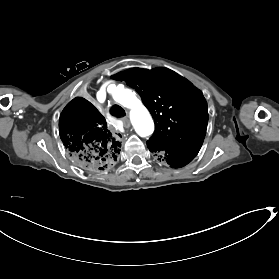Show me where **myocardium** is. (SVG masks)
<instances>
[{
    "mask_svg": "<svg viewBox=\"0 0 279 279\" xmlns=\"http://www.w3.org/2000/svg\"><path fill=\"white\" fill-rule=\"evenodd\" d=\"M92 75H93V77H95L96 73H93ZM131 105H145V104H144V101L142 100V98L139 95H136L134 97V99L132 100Z\"/></svg>",
    "mask_w": 279,
    "mask_h": 279,
    "instance_id": "myocardium-1",
    "label": "myocardium"
}]
</instances>
